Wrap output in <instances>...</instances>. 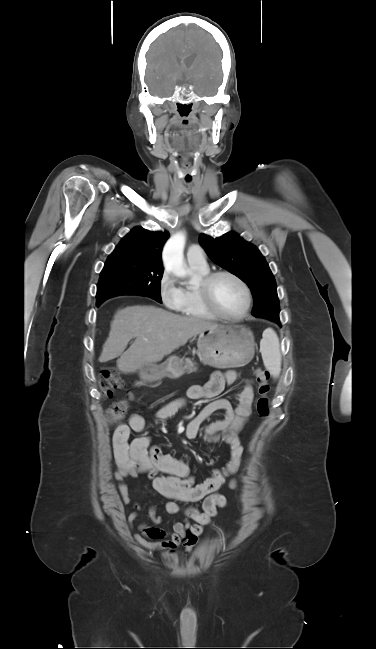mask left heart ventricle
Here are the masks:
<instances>
[{
	"mask_svg": "<svg viewBox=\"0 0 376 649\" xmlns=\"http://www.w3.org/2000/svg\"><path fill=\"white\" fill-rule=\"evenodd\" d=\"M216 306L229 315L239 314L245 306V294L241 286L231 277H218L212 287Z\"/></svg>",
	"mask_w": 376,
	"mask_h": 649,
	"instance_id": "b2bd125f",
	"label": "left heart ventricle"
}]
</instances>
